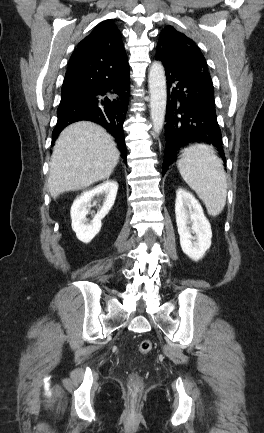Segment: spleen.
Instances as JSON below:
<instances>
[{
  "mask_svg": "<svg viewBox=\"0 0 264 433\" xmlns=\"http://www.w3.org/2000/svg\"><path fill=\"white\" fill-rule=\"evenodd\" d=\"M184 181L204 202L211 216L219 215L226 204L227 179L222 160L211 146L192 145L177 162Z\"/></svg>",
  "mask_w": 264,
  "mask_h": 433,
  "instance_id": "1",
  "label": "spleen"
}]
</instances>
